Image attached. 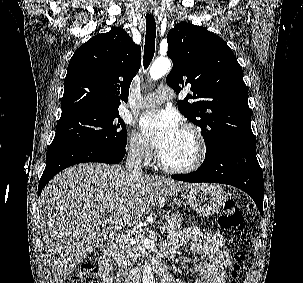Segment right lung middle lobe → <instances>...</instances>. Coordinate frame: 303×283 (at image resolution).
Returning <instances> with one entry per match:
<instances>
[{
	"instance_id": "obj_1",
	"label": "right lung middle lobe",
	"mask_w": 303,
	"mask_h": 283,
	"mask_svg": "<svg viewBox=\"0 0 303 283\" xmlns=\"http://www.w3.org/2000/svg\"><path fill=\"white\" fill-rule=\"evenodd\" d=\"M74 144L125 149V123L118 112L81 111L61 116L50 147Z\"/></svg>"
}]
</instances>
